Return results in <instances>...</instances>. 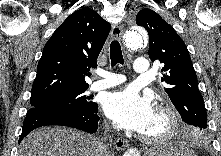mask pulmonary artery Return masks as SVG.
<instances>
[{
    "label": "pulmonary artery",
    "mask_w": 221,
    "mask_h": 156,
    "mask_svg": "<svg viewBox=\"0 0 221 156\" xmlns=\"http://www.w3.org/2000/svg\"><path fill=\"white\" fill-rule=\"evenodd\" d=\"M133 69L137 74H146L149 70L148 60L140 57L134 61ZM102 79L93 82L89 89L91 91H100L125 82V76L108 71H100L98 73Z\"/></svg>",
    "instance_id": "e3ab8cb5"
}]
</instances>
